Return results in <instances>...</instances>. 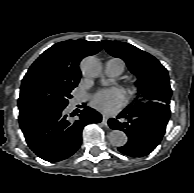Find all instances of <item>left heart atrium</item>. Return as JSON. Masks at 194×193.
Listing matches in <instances>:
<instances>
[{"mask_svg": "<svg viewBox=\"0 0 194 193\" xmlns=\"http://www.w3.org/2000/svg\"><path fill=\"white\" fill-rule=\"evenodd\" d=\"M124 101L125 98L121 90L102 89L94 96L92 105L105 114H112L123 106Z\"/></svg>", "mask_w": 194, "mask_h": 193, "instance_id": "left-heart-atrium-1", "label": "left heart atrium"}]
</instances>
